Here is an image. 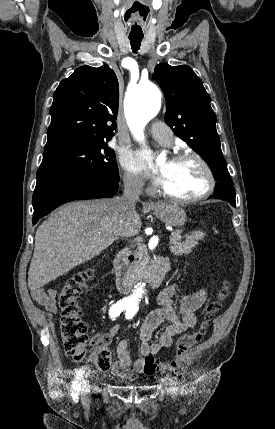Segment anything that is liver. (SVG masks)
<instances>
[{"mask_svg": "<svg viewBox=\"0 0 275 429\" xmlns=\"http://www.w3.org/2000/svg\"><path fill=\"white\" fill-rule=\"evenodd\" d=\"M134 211L122 216L117 198L73 202L53 212L37 229L28 286L36 291L98 256L119 237L140 232Z\"/></svg>", "mask_w": 275, "mask_h": 429, "instance_id": "6515ba94", "label": "liver"}]
</instances>
